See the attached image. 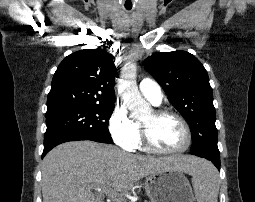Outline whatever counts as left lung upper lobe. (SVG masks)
Wrapping results in <instances>:
<instances>
[{"label": "left lung upper lobe", "mask_w": 255, "mask_h": 202, "mask_svg": "<svg viewBox=\"0 0 255 202\" xmlns=\"http://www.w3.org/2000/svg\"><path fill=\"white\" fill-rule=\"evenodd\" d=\"M144 67L191 127L193 155L219 158L213 93L206 69L186 51L157 52Z\"/></svg>", "instance_id": "1"}]
</instances>
